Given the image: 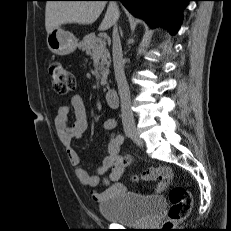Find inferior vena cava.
Here are the masks:
<instances>
[{"instance_id": "inferior-vena-cava-1", "label": "inferior vena cava", "mask_w": 231, "mask_h": 231, "mask_svg": "<svg viewBox=\"0 0 231 231\" xmlns=\"http://www.w3.org/2000/svg\"><path fill=\"white\" fill-rule=\"evenodd\" d=\"M113 64H114V72L115 79L117 81L118 92L121 100V117L123 126H134V117L131 110V99H130V91L129 86L124 74V64H123V54L121 41L118 33L117 26L114 25L113 33Z\"/></svg>"}]
</instances>
